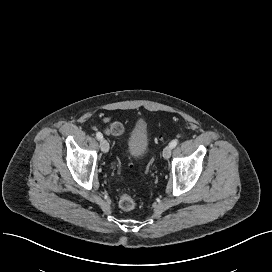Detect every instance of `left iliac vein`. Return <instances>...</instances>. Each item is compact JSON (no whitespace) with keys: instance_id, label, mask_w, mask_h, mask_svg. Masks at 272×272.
I'll return each mask as SVG.
<instances>
[{"instance_id":"obj_1","label":"left iliac vein","mask_w":272,"mask_h":272,"mask_svg":"<svg viewBox=\"0 0 272 272\" xmlns=\"http://www.w3.org/2000/svg\"><path fill=\"white\" fill-rule=\"evenodd\" d=\"M172 153V147L170 145H167L164 149H163V158L164 159H169Z\"/></svg>"}]
</instances>
